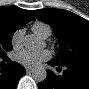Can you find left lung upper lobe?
Here are the masks:
<instances>
[{
	"label": "left lung upper lobe",
	"instance_id": "1",
	"mask_svg": "<svg viewBox=\"0 0 89 89\" xmlns=\"http://www.w3.org/2000/svg\"><path fill=\"white\" fill-rule=\"evenodd\" d=\"M33 14L49 24L57 35L60 50L54 62L62 66L89 63V21L59 9L34 10Z\"/></svg>",
	"mask_w": 89,
	"mask_h": 89
}]
</instances>
